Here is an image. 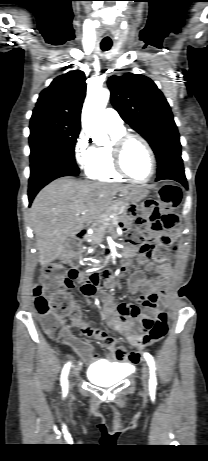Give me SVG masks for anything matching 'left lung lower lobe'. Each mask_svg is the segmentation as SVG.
Listing matches in <instances>:
<instances>
[{
	"label": "left lung lower lobe",
	"instance_id": "1",
	"mask_svg": "<svg viewBox=\"0 0 208 461\" xmlns=\"http://www.w3.org/2000/svg\"><path fill=\"white\" fill-rule=\"evenodd\" d=\"M164 179L175 180L177 182H180L185 188H187L188 185H187L182 161L176 162L170 165L165 170H163L161 173L157 174L156 181L164 180Z\"/></svg>",
	"mask_w": 208,
	"mask_h": 461
}]
</instances>
